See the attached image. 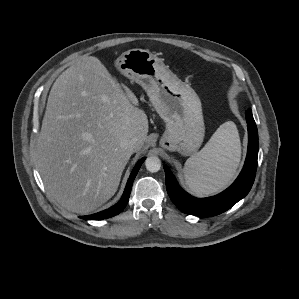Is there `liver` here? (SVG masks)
I'll return each mask as SVG.
<instances>
[{"label":"liver","instance_id":"liver-1","mask_svg":"<svg viewBox=\"0 0 299 299\" xmlns=\"http://www.w3.org/2000/svg\"><path fill=\"white\" fill-rule=\"evenodd\" d=\"M136 96L124 92L101 61L82 56L54 82L36 144V165L50 195L86 214L117 191L132 153L144 145L148 119Z\"/></svg>","mask_w":299,"mask_h":299}]
</instances>
